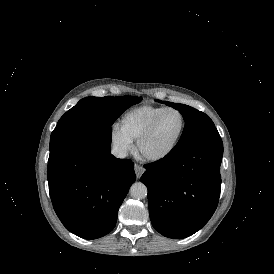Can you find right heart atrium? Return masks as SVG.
Returning a JSON list of instances; mask_svg holds the SVG:
<instances>
[{
	"mask_svg": "<svg viewBox=\"0 0 274 274\" xmlns=\"http://www.w3.org/2000/svg\"><path fill=\"white\" fill-rule=\"evenodd\" d=\"M111 141L123 155H127L134 147L132 141H130L117 127H114L111 130Z\"/></svg>",
	"mask_w": 274,
	"mask_h": 274,
	"instance_id": "1",
	"label": "right heart atrium"
}]
</instances>
